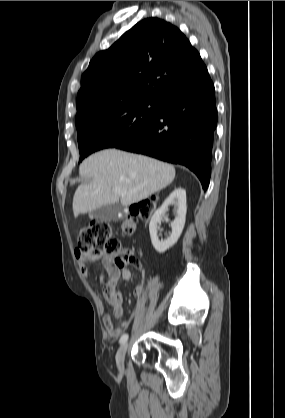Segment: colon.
Wrapping results in <instances>:
<instances>
[{"instance_id":"obj_1","label":"colon","mask_w":285,"mask_h":418,"mask_svg":"<svg viewBox=\"0 0 285 418\" xmlns=\"http://www.w3.org/2000/svg\"><path fill=\"white\" fill-rule=\"evenodd\" d=\"M153 204L149 201H140L131 207V216L122 223V232L131 236L137 231V221L150 217ZM120 244L111 239V227L105 222H95L81 228L77 237L76 257L78 260L90 261L101 254L118 253ZM119 266L141 267L140 259L128 254L116 260Z\"/></svg>"}]
</instances>
